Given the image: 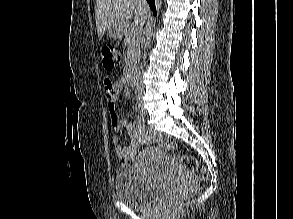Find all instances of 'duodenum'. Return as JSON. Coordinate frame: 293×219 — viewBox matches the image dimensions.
I'll use <instances>...</instances> for the list:
<instances>
[{"mask_svg": "<svg viewBox=\"0 0 293 219\" xmlns=\"http://www.w3.org/2000/svg\"><path fill=\"white\" fill-rule=\"evenodd\" d=\"M126 81L132 86L136 84L135 73L132 67H129L127 70Z\"/></svg>", "mask_w": 293, "mask_h": 219, "instance_id": "410a0bca", "label": "duodenum"}]
</instances>
